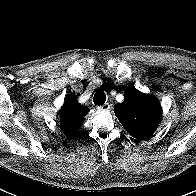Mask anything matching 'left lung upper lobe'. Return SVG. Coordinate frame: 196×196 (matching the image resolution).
I'll return each mask as SVG.
<instances>
[{
    "instance_id": "left-lung-upper-lobe-1",
    "label": "left lung upper lobe",
    "mask_w": 196,
    "mask_h": 196,
    "mask_svg": "<svg viewBox=\"0 0 196 196\" xmlns=\"http://www.w3.org/2000/svg\"><path fill=\"white\" fill-rule=\"evenodd\" d=\"M124 98V102L116 110V115L129 133L141 138L143 134L156 129L160 113L158 104L130 90L124 94Z\"/></svg>"
}]
</instances>
